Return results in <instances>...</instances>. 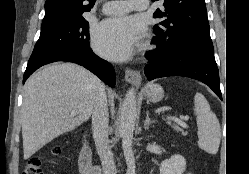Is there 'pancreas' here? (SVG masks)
Listing matches in <instances>:
<instances>
[{
    "label": "pancreas",
    "instance_id": "obj_1",
    "mask_svg": "<svg viewBox=\"0 0 249 174\" xmlns=\"http://www.w3.org/2000/svg\"><path fill=\"white\" fill-rule=\"evenodd\" d=\"M174 130H176L177 132H182V135H187L188 132L184 131L183 129H181L178 125H173Z\"/></svg>",
    "mask_w": 249,
    "mask_h": 174
}]
</instances>
